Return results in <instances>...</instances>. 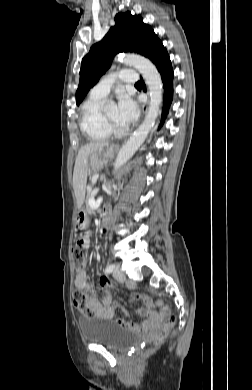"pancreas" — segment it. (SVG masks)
<instances>
[{"label":"pancreas","instance_id":"pancreas-1","mask_svg":"<svg viewBox=\"0 0 252 390\" xmlns=\"http://www.w3.org/2000/svg\"><path fill=\"white\" fill-rule=\"evenodd\" d=\"M88 199V197H87ZM84 205L87 207V212L91 214V216H94V212H95V209L94 208H91L89 205H90V202L89 201H85L84 202Z\"/></svg>","mask_w":252,"mask_h":390}]
</instances>
